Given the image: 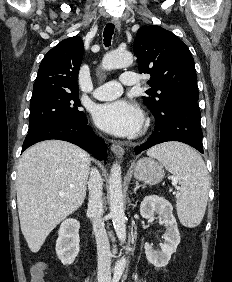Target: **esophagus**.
<instances>
[{"instance_id": "esophagus-1", "label": "esophagus", "mask_w": 232, "mask_h": 282, "mask_svg": "<svg viewBox=\"0 0 232 282\" xmlns=\"http://www.w3.org/2000/svg\"><path fill=\"white\" fill-rule=\"evenodd\" d=\"M112 24L116 27L117 30H120V27H121V23L118 19L116 18H113L111 20ZM111 150L114 154H116L117 156H123L124 154V149L121 147V145L117 142H114L112 145H111Z\"/></svg>"}]
</instances>
